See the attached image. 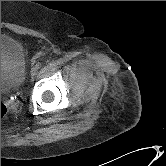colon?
<instances>
[{
    "mask_svg": "<svg viewBox=\"0 0 166 166\" xmlns=\"http://www.w3.org/2000/svg\"><path fill=\"white\" fill-rule=\"evenodd\" d=\"M7 114V107L4 103L1 102V119Z\"/></svg>",
    "mask_w": 166,
    "mask_h": 166,
    "instance_id": "colon-1",
    "label": "colon"
}]
</instances>
